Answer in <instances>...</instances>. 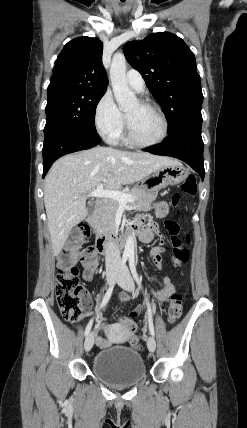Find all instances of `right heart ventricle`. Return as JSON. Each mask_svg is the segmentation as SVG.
<instances>
[{"mask_svg": "<svg viewBox=\"0 0 247 428\" xmlns=\"http://www.w3.org/2000/svg\"><path fill=\"white\" fill-rule=\"evenodd\" d=\"M123 139V141L125 142V143H129V141H128V139L127 138H122Z\"/></svg>", "mask_w": 247, "mask_h": 428, "instance_id": "obj_1", "label": "right heart ventricle"}]
</instances>
